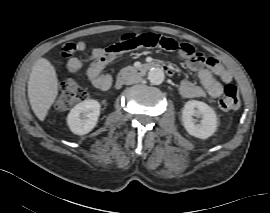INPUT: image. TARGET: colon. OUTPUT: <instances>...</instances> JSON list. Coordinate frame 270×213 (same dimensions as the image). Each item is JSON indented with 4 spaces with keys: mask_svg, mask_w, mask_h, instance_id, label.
Segmentation results:
<instances>
[{
    "mask_svg": "<svg viewBox=\"0 0 270 213\" xmlns=\"http://www.w3.org/2000/svg\"><path fill=\"white\" fill-rule=\"evenodd\" d=\"M142 47L154 49L158 52L179 49L191 56L197 63H208L207 57L201 52H194L189 43H178L174 39L156 34H127L121 36L114 44L107 48V52H121ZM87 99L86 90L73 79H67L61 83L57 106L60 109L72 107ZM221 109L225 111L237 109L240 105L239 92L236 85L228 83L219 101Z\"/></svg>",
    "mask_w": 270,
    "mask_h": 213,
    "instance_id": "colon-1",
    "label": "colon"
}]
</instances>
